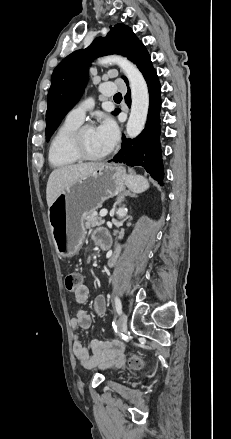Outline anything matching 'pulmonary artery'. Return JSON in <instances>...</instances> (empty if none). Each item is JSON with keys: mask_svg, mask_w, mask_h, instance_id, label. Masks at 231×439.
<instances>
[{"mask_svg": "<svg viewBox=\"0 0 231 439\" xmlns=\"http://www.w3.org/2000/svg\"><path fill=\"white\" fill-rule=\"evenodd\" d=\"M99 91L104 96H110L115 93L116 85L112 82L101 84ZM94 106V101L92 98L86 99L79 105L71 109L67 115L68 118L82 122L85 118V114L88 110L92 109Z\"/></svg>", "mask_w": 231, "mask_h": 439, "instance_id": "1", "label": "pulmonary artery"}]
</instances>
